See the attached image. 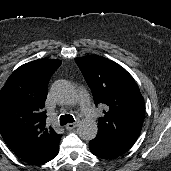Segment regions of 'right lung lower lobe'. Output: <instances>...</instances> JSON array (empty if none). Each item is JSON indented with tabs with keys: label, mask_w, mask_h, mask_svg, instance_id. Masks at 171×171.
Listing matches in <instances>:
<instances>
[{
	"label": "right lung lower lobe",
	"mask_w": 171,
	"mask_h": 171,
	"mask_svg": "<svg viewBox=\"0 0 171 171\" xmlns=\"http://www.w3.org/2000/svg\"><path fill=\"white\" fill-rule=\"evenodd\" d=\"M58 151H59V148L54 152V154L51 156V158L48 161L52 160L58 154Z\"/></svg>",
	"instance_id": "right-lung-lower-lobe-1"
}]
</instances>
